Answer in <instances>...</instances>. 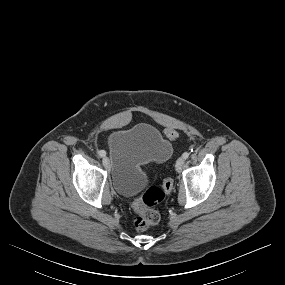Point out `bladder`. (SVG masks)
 Wrapping results in <instances>:
<instances>
[{"label": "bladder", "mask_w": 285, "mask_h": 285, "mask_svg": "<svg viewBox=\"0 0 285 285\" xmlns=\"http://www.w3.org/2000/svg\"><path fill=\"white\" fill-rule=\"evenodd\" d=\"M107 147L112 186L126 197L138 194L145 187L146 164L163 161L172 153L163 133L148 123L112 132Z\"/></svg>", "instance_id": "31cf9c89"}]
</instances>
